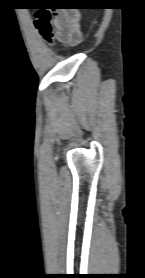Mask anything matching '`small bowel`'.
<instances>
[{
    "label": "small bowel",
    "mask_w": 145,
    "mask_h": 278,
    "mask_svg": "<svg viewBox=\"0 0 145 278\" xmlns=\"http://www.w3.org/2000/svg\"><path fill=\"white\" fill-rule=\"evenodd\" d=\"M55 15V39L68 45L79 43L82 38V29L78 15L64 10H58Z\"/></svg>",
    "instance_id": "1"
}]
</instances>
